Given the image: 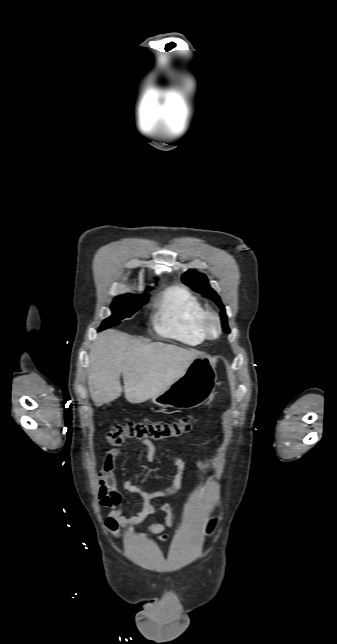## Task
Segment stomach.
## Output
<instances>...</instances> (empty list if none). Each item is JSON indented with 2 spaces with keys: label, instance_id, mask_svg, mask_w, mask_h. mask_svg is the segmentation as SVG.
Here are the masks:
<instances>
[{
  "label": "stomach",
  "instance_id": "0dacf381",
  "mask_svg": "<svg viewBox=\"0 0 337 644\" xmlns=\"http://www.w3.org/2000/svg\"><path fill=\"white\" fill-rule=\"evenodd\" d=\"M216 373L211 358L205 354L196 357L177 381L152 397L160 407L191 409L205 403L213 394Z\"/></svg>",
  "mask_w": 337,
  "mask_h": 644
}]
</instances>
